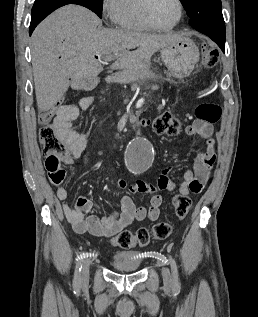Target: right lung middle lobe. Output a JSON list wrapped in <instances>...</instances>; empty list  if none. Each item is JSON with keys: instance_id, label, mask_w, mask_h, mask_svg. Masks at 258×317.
<instances>
[{"instance_id": "right-lung-middle-lobe-1", "label": "right lung middle lobe", "mask_w": 258, "mask_h": 317, "mask_svg": "<svg viewBox=\"0 0 258 317\" xmlns=\"http://www.w3.org/2000/svg\"><path fill=\"white\" fill-rule=\"evenodd\" d=\"M89 2L93 12L96 13L100 18H102L103 0H89Z\"/></svg>"}]
</instances>
